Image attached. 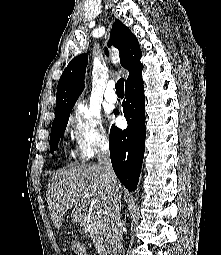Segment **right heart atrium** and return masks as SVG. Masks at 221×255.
<instances>
[{"label": "right heart atrium", "mask_w": 221, "mask_h": 255, "mask_svg": "<svg viewBox=\"0 0 221 255\" xmlns=\"http://www.w3.org/2000/svg\"><path fill=\"white\" fill-rule=\"evenodd\" d=\"M76 149L82 158L92 156L108 141L99 114L85 103H78L70 116Z\"/></svg>", "instance_id": "1"}]
</instances>
